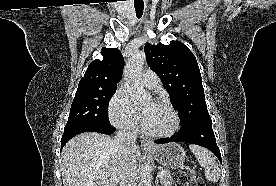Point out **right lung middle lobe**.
<instances>
[{
    "label": "right lung middle lobe",
    "instance_id": "obj_1",
    "mask_svg": "<svg viewBox=\"0 0 276 186\" xmlns=\"http://www.w3.org/2000/svg\"><path fill=\"white\" fill-rule=\"evenodd\" d=\"M117 88L80 89L76 91L65 127L78 123L110 124L108 102Z\"/></svg>",
    "mask_w": 276,
    "mask_h": 186
}]
</instances>
